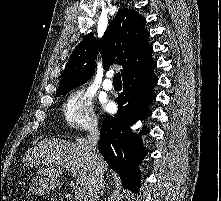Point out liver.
Instances as JSON below:
<instances>
[{"instance_id": "obj_1", "label": "liver", "mask_w": 221, "mask_h": 201, "mask_svg": "<svg viewBox=\"0 0 221 201\" xmlns=\"http://www.w3.org/2000/svg\"><path fill=\"white\" fill-rule=\"evenodd\" d=\"M99 158L102 171H107L105 160L100 155ZM23 160L27 166H45L38 170V174L48 177L54 185L58 184L57 178L62 175V168H69L78 185L85 189L89 186L92 166L85 138H77L72 143L57 139L42 140L28 150Z\"/></svg>"}]
</instances>
